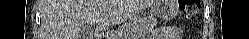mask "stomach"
Segmentation results:
<instances>
[{
    "label": "stomach",
    "instance_id": "0dacf381",
    "mask_svg": "<svg viewBox=\"0 0 249 39\" xmlns=\"http://www.w3.org/2000/svg\"><path fill=\"white\" fill-rule=\"evenodd\" d=\"M177 10L176 0H154V3L151 5L152 14L164 20L175 17Z\"/></svg>",
    "mask_w": 249,
    "mask_h": 39
}]
</instances>
